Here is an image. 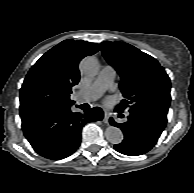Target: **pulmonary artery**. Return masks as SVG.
<instances>
[{
    "label": "pulmonary artery",
    "instance_id": "1",
    "mask_svg": "<svg viewBox=\"0 0 194 193\" xmlns=\"http://www.w3.org/2000/svg\"><path fill=\"white\" fill-rule=\"evenodd\" d=\"M116 75L115 69L110 66H104L95 81L88 87L78 93L80 102H92L97 100L105 90L111 86Z\"/></svg>",
    "mask_w": 194,
    "mask_h": 193
}]
</instances>
